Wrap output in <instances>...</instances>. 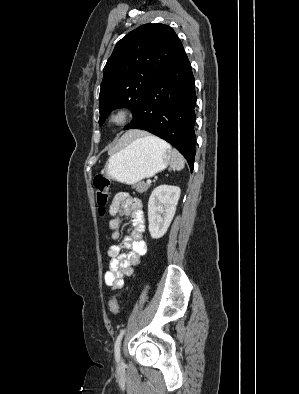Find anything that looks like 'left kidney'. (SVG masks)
<instances>
[{
	"label": "left kidney",
	"mask_w": 299,
	"mask_h": 394,
	"mask_svg": "<svg viewBox=\"0 0 299 394\" xmlns=\"http://www.w3.org/2000/svg\"><path fill=\"white\" fill-rule=\"evenodd\" d=\"M181 190L177 186L156 187L148 202L149 232L153 239H159L167 232L174 217Z\"/></svg>",
	"instance_id": "1"
}]
</instances>
